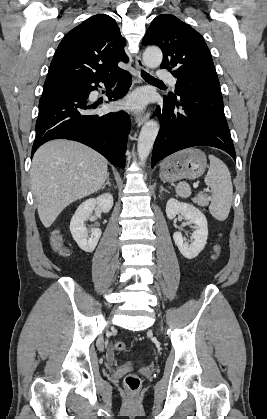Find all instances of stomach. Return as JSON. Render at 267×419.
<instances>
[{
    "mask_svg": "<svg viewBox=\"0 0 267 419\" xmlns=\"http://www.w3.org/2000/svg\"><path fill=\"white\" fill-rule=\"evenodd\" d=\"M207 166V158L203 151L197 148L185 149L163 161L160 178L167 182L192 180L200 177Z\"/></svg>",
    "mask_w": 267,
    "mask_h": 419,
    "instance_id": "stomach-1",
    "label": "stomach"
}]
</instances>
